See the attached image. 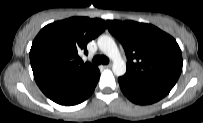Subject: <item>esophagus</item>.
I'll use <instances>...</instances> for the list:
<instances>
[{"label":"esophagus","mask_w":203,"mask_h":123,"mask_svg":"<svg viewBox=\"0 0 203 123\" xmlns=\"http://www.w3.org/2000/svg\"><path fill=\"white\" fill-rule=\"evenodd\" d=\"M112 64L104 65V68H111Z\"/></svg>","instance_id":"34e87169"}]
</instances>
